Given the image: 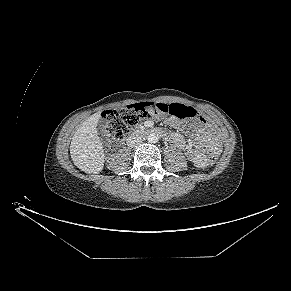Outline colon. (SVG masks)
<instances>
[{
    "label": "colon",
    "instance_id": "colon-1",
    "mask_svg": "<svg viewBox=\"0 0 291 291\" xmlns=\"http://www.w3.org/2000/svg\"><path fill=\"white\" fill-rule=\"evenodd\" d=\"M169 115L176 118H198L197 111L183 104L140 103L121 110H107L102 115L101 131L113 139H122L143 119ZM218 160L217 153H211L208 163Z\"/></svg>",
    "mask_w": 291,
    "mask_h": 291
}]
</instances>
